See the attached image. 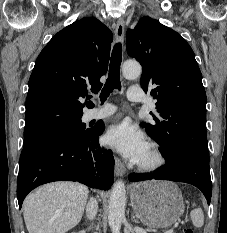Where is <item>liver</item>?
Returning <instances> with one entry per match:
<instances>
[{
  "label": "liver",
  "mask_w": 227,
  "mask_h": 233,
  "mask_svg": "<svg viewBox=\"0 0 227 233\" xmlns=\"http://www.w3.org/2000/svg\"><path fill=\"white\" fill-rule=\"evenodd\" d=\"M88 188L73 182L46 184L29 194L23 215L29 233H66L81 220Z\"/></svg>",
  "instance_id": "1"
}]
</instances>
